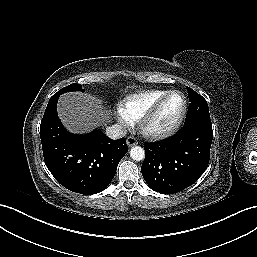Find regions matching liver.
<instances>
[{
    "instance_id": "1",
    "label": "liver",
    "mask_w": 257,
    "mask_h": 257,
    "mask_svg": "<svg viewBox=\"0 0 257 257\" xmlns=\"http://www.w3.org/2000/svg\"><path fill=\"white\" fill-rule=\"evenodd\" d=\"M63 125L72 133H87L104 124L109 116L103 110L101 100L82 92L60 96L57 107Z\"/></svg>"
}]
</instances>
